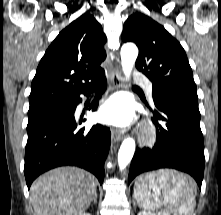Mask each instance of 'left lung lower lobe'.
Masks as SVG:
<instances>
[{
    "label": "left lung lower lobe",
    "mask_w": 221,
    "mask_h": 215,
    "mask_svg": "<svg viewBox=\"0 0 221 215\" xmlns=\"http://www.w3.org/2000/svg\"><path fill=\"white\" fill-rule=\"evenodd\" d=\"M154 122L158 136L155 147L136 151L128 184L139 174L160 168H173L190 174L201 189L204 173V143L200 129L198 102L174 93L153 95Z\"/></svg>",
    "instance_id": "left-lung-lower-lobe-1"
}]
</instances>
